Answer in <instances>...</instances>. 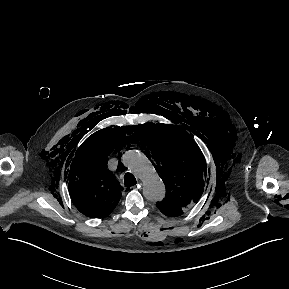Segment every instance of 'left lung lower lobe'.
Here are the masks:
<instances>
[{
  "label": "left lung lower lobe",
  "instance_id": "obj_1",
  "mask_svg": "<svg viewBox=\"0 0 289 289\" xmlns=\"http://www.w3.org/2000/svg\"><path fill=\"white\" fill-rule=\"evenodd\" d=\"M163 214H165L166 216H176V215L171 214V213H168V212H165V213H163Z\"/></svg>",
  "mask_w": 289,
  "mask_h": 289
}]
</instances>
